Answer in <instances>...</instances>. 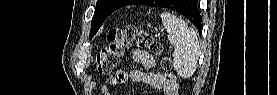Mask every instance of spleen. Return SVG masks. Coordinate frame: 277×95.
<instances>
[{
	"label": "spleen",
	"mask_w": 277,
	"mask_h": 95,
	"mask_svg": "<svg viewBox=\"0 0 277 95\" xmlns=\"http://www.w3.org/2000/svg\"><path fill=\"white\" fill-rule=\"evenodd\" d=\"M160 17L174 47L173 67L180 77L189 78L197 68L200 50L197 35L186 22L168 12Z\"/></svg>",
	"instance_id": "3e777b00"
}]
</instances>
